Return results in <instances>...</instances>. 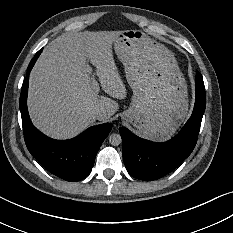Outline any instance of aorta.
<instances>
[{
  "label": "aorta",
  "instance_id": "762f6f07",
  "mask_svg": "<svg viewBox=\"0 0 233 233\" xmlns=\"http://www.w3.org/2000/svg\"><path fill=\"white\" fill-rule=\"evenodd\" d=\"M121 142H122V139H121L120 134L113 133L109 136V143L111 145L118 146L119 144H121Z\"/></svg>",
  "mask_w": 233,
  "mask_h": 233
}]
</instances>
